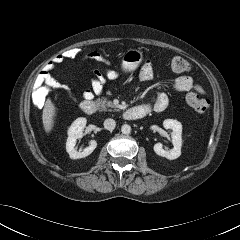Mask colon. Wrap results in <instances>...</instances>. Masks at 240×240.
<instances>
[{
    "mask_svg": "<svg viewBox=\"0 0 240 240\" xmlns=\"http://www.w3.org/2000/svg\"><path fill=\"white\" fill-rule=\"evenodd\" d=\"M59 58L65 61H77L84 59L82 49L79 47L69 48L59 54ZM171 69L176 73H185L189 71V62L182 57H174L171 60ZM46 92L44 90L37 91L35 101L42 103L45 101ZM186 103L198 114H204L208 111L210 103L208 99L201 97L197 92H189L186 95Z\"/></svg>",
    "mask_w": 240,
    "mask_h": 240,
    "instance_id": "1",
    "label": "colon"
}]
</instances>
